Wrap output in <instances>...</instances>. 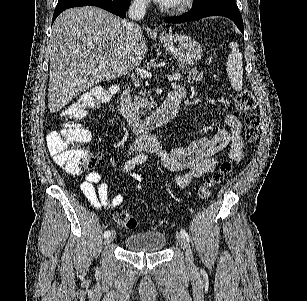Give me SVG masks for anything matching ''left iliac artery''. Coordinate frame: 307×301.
Masks as SVG:
<instances>
[{
    "label": "left iliac artery",
    "mask_w": 307,
    "mask_h": 301,
    "mask_svg": "<svg viewBox=\"0 0 307 301\" xmlns=\"http://www.w3.org/2000/svg\"><path fill=\"white\" fill-rule=\"evenodd\" d=\"M181 234L183 235V237H184L187 241L190 240V237H189V235H188V233L186 232L185 229L181 228Z\"/></svg>",
    "instance_id": "obj_1"
}]
</instances>
